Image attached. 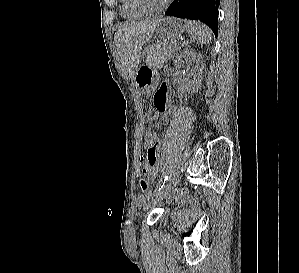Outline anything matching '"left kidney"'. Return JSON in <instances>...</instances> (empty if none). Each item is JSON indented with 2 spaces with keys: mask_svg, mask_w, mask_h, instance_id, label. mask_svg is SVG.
Wrapping results in <instances>:
<instances>
[{
  "mask_svg": "<svg viewBox=\"0 0 299 273\" xmlns=\"http://www.w3.org/2000/svg\"><path fill=\"white\" fill-rule=\"evenodd\" d=\"M190 59L195 63V67L191 70L189 74V82L185 85H181L179 89L182 92L187 91L189 93H195L199 90L202 84V72L204 69V62L202 56L190 49L185 50L177 55L174 64L176 67L180 68L183 65V60Z\"/></svg>",
  "mask_w": 299,
  "mask_h": 273,
  "instance_id": "1",
  "label": "left kidney"
}]
</instances>
